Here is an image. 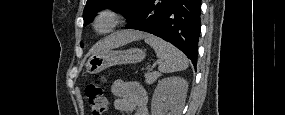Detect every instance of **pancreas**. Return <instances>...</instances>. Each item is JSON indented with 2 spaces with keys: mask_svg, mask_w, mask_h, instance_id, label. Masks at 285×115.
I'll return each mask as SVG.
<instances>
[{
  "mask_svg": "<svg viewBox=\"0 0 285 115\" xmlns=\"http://www.w3.org/2000/svg\"><path fill=\"white\" fill-rule=\"evenodd\" d=\"M161 76L160 72H147L145 73V82L146 84H153Z\"/></svg>",
  "mask_w": 285,
  "mask_h": 115,
  "instance_id": "obj_1",
  "label": "pancreas"
}]
</instances>
